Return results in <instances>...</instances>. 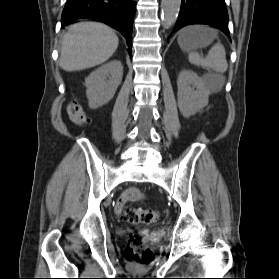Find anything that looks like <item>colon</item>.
<instances>
[{
  "label": "colon",
  "mask_w": 279,
  "mask_h": 279,
  "mask_svg": "<svg viewBox=\"0 0 279 279\" xmlns=\"http://www.w3.org/2000/svg\"><path fill=\"white\" fill-rule=\"evenodd\" d=\"M70 120L76 125H86L90 119L78 100L74 99L67 105ZM121 217L131 224H151L158 220V213L152 209L123 207ZM125 256L128 260L139 264H148L153 260V252L146 245L145 237L140 233H129L126 237Z\"/></svg>",
  "instance_id": "colon-1"
}]
</instances>
